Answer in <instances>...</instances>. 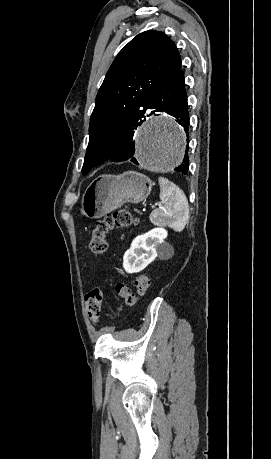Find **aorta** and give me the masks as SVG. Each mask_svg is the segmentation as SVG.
<instances>
[{"instance_id":"1","label":"aorta","mask_w":271,"mask_h":459,"mask_svg":"<svg viewBox=\"0 0 271 459\" xmlns=\"http://www.w3.org/2000/svg\"><path fill=\"white\" fill-rule=\"evenodd\" d=\"M185 148L183 130L162 115L150 118L136 137V158L148 170L173 169L182 162Z\"/></svg>"}]
</instances>
